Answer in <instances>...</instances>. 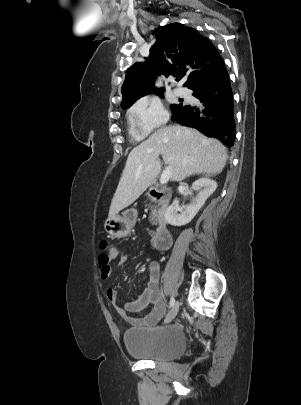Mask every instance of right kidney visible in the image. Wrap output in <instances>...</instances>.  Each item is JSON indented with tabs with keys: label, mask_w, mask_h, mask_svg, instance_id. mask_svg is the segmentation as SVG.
I'll list each match as a JSON object with an SVG mask.
<instances>
[{
	"label": "right kidney",
	"mask_w": 301,
	"mask_h": 405,
	"mask_svg": "<svg viewBox=\"0 0 301 405\" xmlns=\"http://www.w3.org/2000/svg\"><path fill=\"white\" fill-rule=\"evenodd\" d=\"M192 188L197 189L198 194L191 200L190 204L182 210H180L178 203H173L167 208L165 220L168 224L183 226L189 223L204 205L207 198L216 190L217 183L210 178L203 177L193 182ZM178 211H180V214L177 213Z\"/></svg>",
	"instance_id": "1"
}]
</instances>
